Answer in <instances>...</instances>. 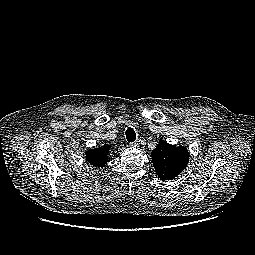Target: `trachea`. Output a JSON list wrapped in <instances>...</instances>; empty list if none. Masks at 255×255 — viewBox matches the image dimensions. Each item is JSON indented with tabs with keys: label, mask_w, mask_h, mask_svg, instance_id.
<instances>
[{
	"label": "trachea",
	"mask_w": 255,
	"mask_h": 255,
	"mask_svg": "<svg viewBox=\"0 0 255 255\" xmlns=\"http://www.w3.org/2000/svg\"><path fill=\"white\" fill-rule=\"evenodd\" d=\"M126 138L128 142H134L136 139V133L135 130L133 128H128L126 130Z\"/></svg>",
	"instance_id": "3493384b"
}]
</instances>
